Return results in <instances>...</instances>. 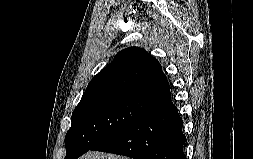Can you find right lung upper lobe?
Returning a JSON list of instances; mask_svg holds the SVG:
<instances>
[{"label":"right lung upper lobe","mask_w":253,"mask_h":159,"mask_svg":"<svg viewBox=\"0 0 253 159\" xmlns=\"http://www.w3.org/2000/svg\"><path fill=\"white\" fill-rule=\"evenodd\" d=\"M113 95L141 98L160 105L171 98L159 62L139 47L120 51L88 84L81 100Z\"/></svg>","instance_id":"cb5924a9"}]
</instances>
